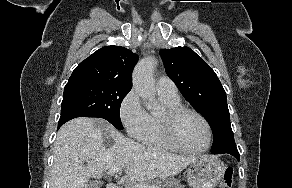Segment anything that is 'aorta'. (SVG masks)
I'll return each mask as SVG.
<instances>
[{
    "label": "aorta",
    "mask_w": 292,
    "mask_h": 188,
    "mask_svg": "<svg viewBox=\"0 0 292 188\" xmlns=\"http://www.w3.org/2000/svg\"><path fill=\"white\" fill-rule=\"evenodd\" d=\"M156 61L153 57L143 58L133 72V88L146 101L148 110H158L160 105L155 98L153 71Z\"/></svg>",
    "instance_id": "aorta-1"
}]
</instances>
